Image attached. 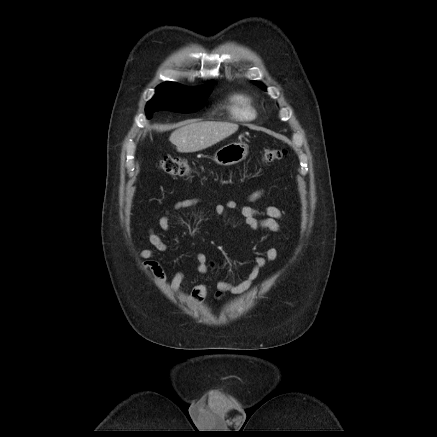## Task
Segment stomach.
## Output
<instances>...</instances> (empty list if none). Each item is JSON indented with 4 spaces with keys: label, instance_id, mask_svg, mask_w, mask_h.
<instances>
[{
    "label": "stomach",
    "instance_id": "0dacf381",
    "mask_svg": "<svg viewBox=\"0 0 437 437\" xmlns=\"http://www.w3.org/2000/svg\"><path fill=\"white\" fill-rule=\"evenodd\" d=\"M248 155V146L242 142L227 144L218 149L213 160L222 166H230L241 162Z\"/></svg>",
    "mask_w": 437,
    "mask_h": 437
}]
</instances>
